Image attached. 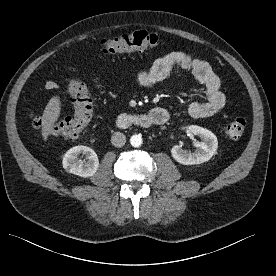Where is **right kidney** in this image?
Masks as SVG:
<instances>
[{"label":"right kidney","mask_w":276,"mask_h":276,"mask_svg":"<svg viewBox=\"0 0 276 276\" xmlns=\"http://www.w3.org/2000/svg\"><path fill=\"white\" fill-rule=\"evenodd\" d=\"M84 154L87 161L78 159L79 154ZM64 169L81 177L93 176L99 167V159L93 149L87 146H75L70 148L63 156Z\"/></svg>","instance_id":"1"}]
</instances>
